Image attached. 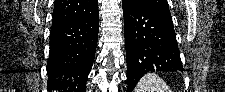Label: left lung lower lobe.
<instances>
[{"label": "left lung lower lobe", "mask_w": 225, "mask_h": 92, "mask_svg": "<svg viewBox=\"0 0 225 92\" xmlns=\"http://www.w3.org/2000/svg\"><path fill=\"white\" fill-rule=\"evenodd\" d=\"M127 57V92L149 71H181L170 13L122 0Z\"/></svg>", "instance_id": "obj_1"}]
</instances>
